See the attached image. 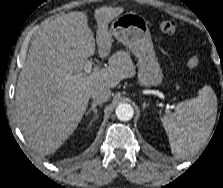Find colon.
<instances>
[{
	"label": "colon",
	"mask_w": 223,
	"mask_h": 188,
	"mask_svg": "<svg viewBox=\"0 0 223 188\" xmlns=\"http://www.w3.org/2000/svg\"><path fill=\"white\" fill-rule=\"evenodd\" d=\"M159 28L162 32L167 34H172L177 29V24L173 20H162L159 22ZM200 59L197 54H191L187 58V66L190 68H195L199 65Z\"/></svg>",
	"instance_id": "colon-1"
}]
</instances>
